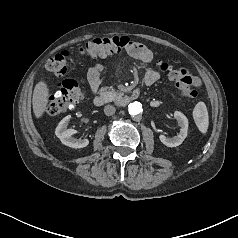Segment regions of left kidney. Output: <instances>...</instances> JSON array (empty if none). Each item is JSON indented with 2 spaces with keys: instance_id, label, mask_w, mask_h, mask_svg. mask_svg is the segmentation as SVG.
Instances as JSON below:
<instances>
[{
  "instance_id": "5707ae66",
  "label": "left kidney",
  "mask_w": 238,
  "mask_h": 238,
  "mask_svg": "<svg viewBox=\"0 0 238 238\" xmlns=\"http://www.w3.org/2000/svg\"><path fill=\"white\" fill-rule=\"evenodd\" d=\"M174 118L177 120L178 125L180 126V132L177 136L172 138L166 137L165 135H160V141L166 145L167 147H176L182 144L184 139L187 137L188 131V119L187 117L180 111L174 112Z\"/></svg>"
}]
</instances>
